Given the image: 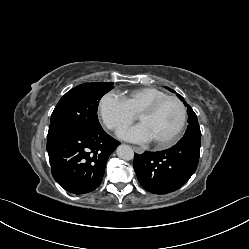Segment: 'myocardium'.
<instances>
[{"instance_id":"1","label":"myocardium","mask_w":249,"mask_h":249,"mask_svg":"<svg viewBox=\"0 0 249 249\" xmlns=\"http://www.w3.org/2000/svg\"><path fill=\"white\" fill-rule=\"evenodd\" d=\"M168 100L176 101L179 104V106L181 108V121H180V124L177 127V129L168 138H166L164 140H160V141H154L155 146L159 149L168 148V147L172 146L179 139L180 135L182 134V132L186 126V122H187L188 114H187L186 105L184 104V102L180 98H178L176 96H172V95H167V96L161 97L159 99H156L153 102L149 103L148 105L144 106L137 114L138 119L143 114H151L162 103H164L165 101H168Z\"/></svg>"}]
</instances>
